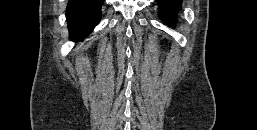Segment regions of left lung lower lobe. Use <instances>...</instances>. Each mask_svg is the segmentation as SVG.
Instances as JSON below:
<instances>
[{
    "mask_svg": "<svg viewBox=\"0 0 257 130\" xmlns=\"http://www.w3.org/2000/svg\"><path fill=\"white\" fill-rule=\"evenodd\" d=\"M159 15L165 23L172 24L181 8V0H157Z\"/></svg>",
    "mask_w": 257,
    "mask_h": 130,
    "instance_id": "0a47b994",
    "label": "left lung lower lobe"
}]
</instances>
